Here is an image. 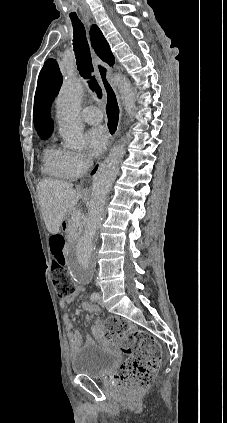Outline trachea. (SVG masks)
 Segmentation results:
<instances>
[{"label": "trachea", "instance_id": "1", "mask_svg": "<svg viewBox=\"0 0 227 423\" xmlns=\"http://www.w3.org/2000/svg\"><path fill=\"white\" fill-rule=\"evenodd\" d=\"M71 22L74 30L73 46L79 74L87 80L90 89L96 94V96L98 98H102V89L95 77L92 76L94 69L89 44L86 39L85 27L78 18L71 19Z\"/></svg>", "mask_w": 227, "mask_h": 423}]
</instances>
